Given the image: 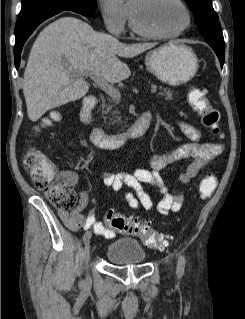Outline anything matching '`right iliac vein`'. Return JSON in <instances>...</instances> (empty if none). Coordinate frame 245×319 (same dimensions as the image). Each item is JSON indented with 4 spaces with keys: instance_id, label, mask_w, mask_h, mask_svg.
Returning a JSON list of instances; mask_svg holds the SVG:
<instances>
[{
    "instance_id": "1",
    "label": "right iliac vein",
    "mask_w": 245,
    "mask_h": 319,
    "mask_svg": "<svg viewBox=\"0 0 245 319\" xmlns=\"http://www.w3.org/2000/svg\"><path fill=\"white\" fill-rule=\"evenodd\" d=\"M91 239V233L86 232L83 238V242L85 244V249H84V256L88 260L90 256V247H89V241Z\"/></svg>"
}]
</instances>
